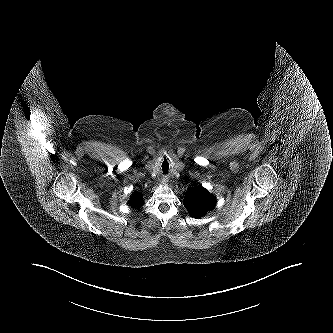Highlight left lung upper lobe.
I'll list each match as a JSON object with an SVG mask.
<instances>
[{
	"instance_id": "1",
	"label": "left lung upper lobe",
	"mask_w": 333,
	"mask_h": 333,
	"mask_svg": "<svg viewBox=\"0 0 333 333\" xmlns=\"http://www.w3.org/2000/svg\"><path fill=\"white\" fill-rule=\"evenodd\" d=\"M183 204L192 217L200 218L215 207L216 198L200 186L187 192Z\"/></svg>"
}]
</instances>
